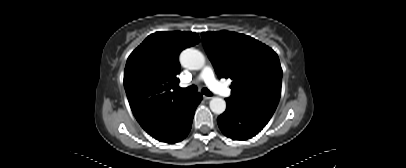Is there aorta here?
Instances as JSON below:
<instances>
[{
	"instance_id": "762f6f07",
	"label": "aorta",
	"mask_w": 406,
	"mask_h": 168,
	"mask_svg": "<svg viewBox=\"0 0 406 168\" xmlns=\"http://www.w3.org/2000/svg\"><path fill=\"white\" fill-rule=\"evenodd\" d=\"M180 63L187 69L199 70L205 65V57L200 51L188 48L181 52ZM209 105L211 111L215 114H222L226 109V102L220 97H213Z\"/></svg>"
}]
</instances>
